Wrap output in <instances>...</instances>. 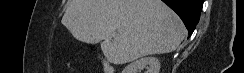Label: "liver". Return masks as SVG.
<instances>
[{
  "label": "liver",
  "mask_w": 244,
  "mask_h": 73,
  "mask_svg": "<svg viewBox=\"0 0 244 73\" xmlns=\"http://www.w3.org/2000/svg\"><path fill=\"white\" fill-rule=\"evenodd\" d=\"M62 24L77 40L101 43L110 63L174 51L186 34L161 0H70Z\"/></svg>",
  "instance_id": "obj_1"
}]
</instances>
